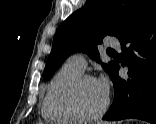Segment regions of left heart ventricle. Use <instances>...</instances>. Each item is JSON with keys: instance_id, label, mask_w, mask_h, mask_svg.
I'll list each match as a JSON object with an SVG mask.
<instances>
[{"instance_id": "b2bd125f", "label": "left heart ventricle", "mask_w": 156, "mask_h": 124, "mask_svg": "<svg viewBox=\"0 0 156 124\" xmlns=\"http://www.w3.org/2000/svg\"><path fill=\"white\" fill-rule=\"evenodd\" d=\"M106 95L96 81H85L76 94L78 108L87 115L98 112L105 102Z\"/></svg>"}]
</instances>
